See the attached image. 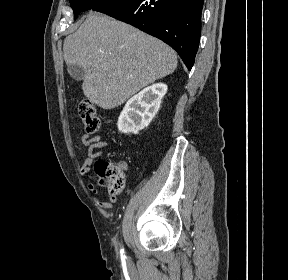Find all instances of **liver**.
<instances>
[{
  "label": "liver",
  "mask_w": 288,
  "mask_h": 280,
  "mask_svg": "<svg viewBox=\"0 0 288 280\" xmlns=\"http://www.w3.org/2000/svg\"><path fill=\"white\" fill-rule=\"evenodd\" d=\"M67 65L83 69L84 95L103 109L172 74L177 55L162 41L107 15L90 12L63 45Z\"/></svg>",
  "instance_id": "6515ba94"
}]
</instances>
